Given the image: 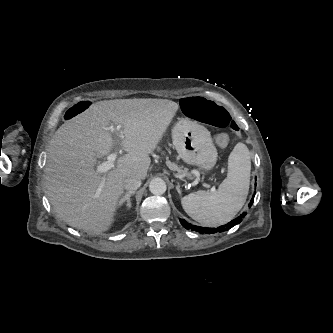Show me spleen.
<instances>
[{
	"label": "spleen",
	"instance_id": "3e777b00",
	"mask_svg": "<svg viewBox=\"0 0 333 333\" xmlns=\"http://www.w3.org/2000/svg\"><path fill=\"white\" fill-rule=\"evenodd\" d=\"M250 172V152L245 144L238 143L229 155L228 174L218 189L184 196L181 199L183 209L192 219L207 226L228 222L246 201Z\"/></svg>",
	"mask_w": 333,
	"mask_h": 333
}]
</instances>
